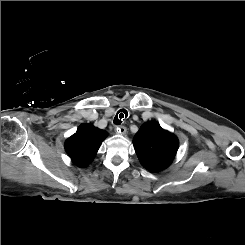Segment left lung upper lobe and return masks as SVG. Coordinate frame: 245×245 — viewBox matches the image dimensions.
Masks as SVG:
<instances>
[{
	"label": "left lung upper lobe",
	"instance_id": "obj_1",
	"mask_svg": "<svg viewBox=\"0 0 245 245\" xmlns=\"http://www.w3.org/2000/svg\"><path fill=\"white\" fill-rule=\"evenodd\" d=\"M133 143L142 166L151 172L167 168L179 147L178 138L156 122L144 123L134 136Z\"/></svg>",
	"mask_w": 245,
	"mask_h": 245
}]
</instances>
